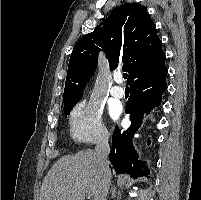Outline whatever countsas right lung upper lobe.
I'll list each match as a JSON object with an SVG mask.
<instances>
[{"mask_svg":"<svg viewBox=\"0 0 201 200\" xmlns=\"http://www.w3.org/2000/svg\"><path fill=\"white\" fill-rule=\"evenodd\" d=\"M103 24L76 43L69 60L63 101L82 98L88 75L97 65L100 47L111 69L123 63L130 85L165 65L162 42L144 6L123 4L114 9Z\"/></svg>","mask_w":201,"mask_h":200,"instance_id":"cb5924a9","label":"right lung upper lobe"}]
</instances>
